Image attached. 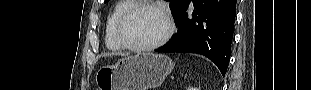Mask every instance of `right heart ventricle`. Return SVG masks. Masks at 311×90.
I'll return each mask as SVG.
<instances>
[{
    "label": "right heart ventricle",
    "mask_w": 311,
    "mask_h": 90,
    "mask_svg": "<svg viewBox=\"0 0 311 90\" xmlns=\"http://www.w3.org/2000/svg\"><path fill=\"white\" fill-rule=\"evenodd\" d=\"M134 4L135 1L123 0L116 2L113 6L105 25V44L109 50L118 51L123 49L116 38V25L120 16Z\"/></svg>",
    "instance_id": "1"
}]
</instances>
